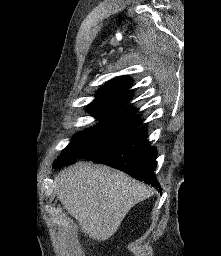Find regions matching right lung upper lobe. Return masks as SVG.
I'll use <instances>...</instances> for the list:
<instances>
[{
    "label": "right lung upper lobe",
    "mask_w": 221,
    "mask_h": 256,
    "mask_svg": "<svg viewBox=\"0 0 221 256\" xmlns=\"http://www.w3.org/2000/svg\"><path fill=\"white\" fill-rule=\"evenodd\" d=\"M130 85L131 79L126 76L113 79L97 92V98L88 106L89 110L113 109L135 117V109L125 107L133 96V93L128 90Z\"/></svg>",
    "instance_id": "obj_1"
}]
</instances>
